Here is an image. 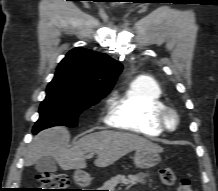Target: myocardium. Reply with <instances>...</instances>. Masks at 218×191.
<instances>
[{
	"label": "myocardium",
	"instance_id": "obj_1",
	"mask_svg": "<svg viewBox=\"0 0 218 191\" xmlns=\"http://www.w3.org/2000/svg\"><path fill=\"white\" fill-rule=\"evenodd\" d=\"M169 116H173L174 125H170ZM157 121L163 130L173 132L179 128L181 117L174 107L164 106L157 114Z\"/></svg>",
	"mask_w": 218,
	"mask_h": 191
}]
</instances>
